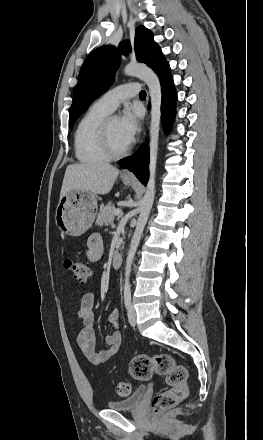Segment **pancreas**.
<instances>
[{
  "label": "pancreas",
  "mask_w": 263,
  "mask_h": 440,
  "mask_svg": "<svg viewBox=\"0 0 263 440\" xmlns=\"http://www.w3.org/2000/svg\"><path fill=\"white\" fill-rule=\"evenodd\" d=\"M116 207L113 203H108L106 206H104L96 220V224L99 226L110 224L113 222L115 217V211Z\"/></svg>",
  "instance_id": "1"
}]
</instances>
